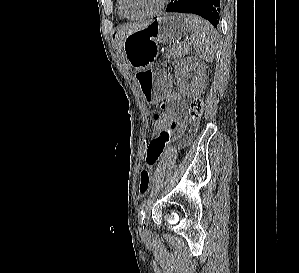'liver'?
<instances>
[{"instance_id": "liver-1", "label": "liver", "mask_w": 299, "mask_h": 273, "mask_svg": "<svg viewBox=\"0 0 299 273\" xmlns=\"http://www.w3.org/2000/svg\"><path fill=\"white\" fill-rule=\"evenodd\" d=\"M151 21H144V22H135V23H127L122 25L119 30L117 31L116 38H115V46L117 52L120 54V57L125 60V54L123 50V43L125 38L130 34L138 30L145 29ZM128 66L129 63H127Z\"/></svg>"}]
</instances>
